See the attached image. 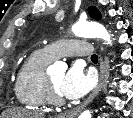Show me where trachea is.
Returning <instances> with one entry per match:
<instances>
[{"label":"trachea","instance_id":"1","mask_svg":"<svg viewBox=\"0 0 133 118\" xmlns=\"http://www.w3.org/2000/svg\"><path fill=\"white\" fill-rule=\"evenodd\" d=\"M91 60H92V61H98V56H97L96 54H93V55L91 56Z\"/></svg>","mask_w":133,"mask_h":118}]
</instances>
